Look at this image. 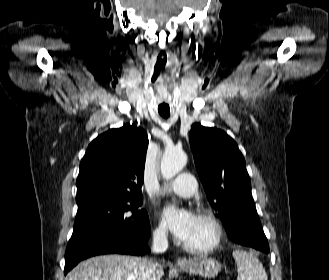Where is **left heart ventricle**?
Here are the masks:
<instances>
[{
  "mask_svg": "<svg viewBox=\"0 0 329 280\" xmlns=\"http://www.w3.org/2000/svg\"><path fill=\"white\" fill-rule=\"evenodd\" d=\"M212 236L213 233L209 225L196 216L193 229L185 243L192 246H204L212 240Z\"/></svg>",
  "mask_w": 329,
  "mask_h": 280,
  "instance_id": "b2bd125f",
  "label": "left heart ventricle"
}]
</instances>
